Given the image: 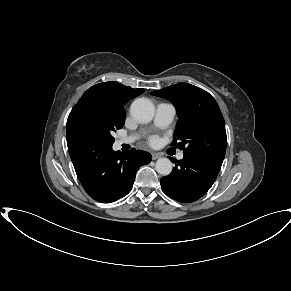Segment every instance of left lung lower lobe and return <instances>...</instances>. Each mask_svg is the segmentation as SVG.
<instances>
[{"instance_id":"left-lung-lower-lobe-1","label":"left lung lower lobe","mask_w":291,"mask_h":291,"mask_svg":"<svg viewBox=\"0 0 291 291\" xmlns=\"http://www.w3.org/2000/svg\"><path fill=\"white\" fill-rule=\"evenodd\" d=\"M222 160H204L184 155L175 161L172 172L160 183L170 198L182 203H190L201 198L215 182Z\"/></svg>"}]
</instances>
